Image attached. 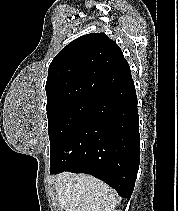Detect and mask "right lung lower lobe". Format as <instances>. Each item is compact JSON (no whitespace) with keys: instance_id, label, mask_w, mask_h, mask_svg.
Listing matches in <instances>:
<instances>
[{"instance_id":"obj_1","label":"right lung lower lobe","mask_w":178,"mask_h":211,"mask_svg":"<svg viewBox=\"0 0 178 211\" xmlns=\"http://www.w3.org/2000/svg\"><path fill=\"white\" fill-rule=\"evenodd\" d=\"M138 121L131 81L96 101L51 154L50 173L90 174L129 199L139 169Z\"/></svg>"}]
</instances>
